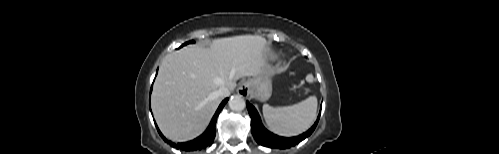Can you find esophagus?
<instances>
[{
    "label": "esophagus",
    "instance_id": "1",
    "mask_svg": "<svg viewBox=\"0 0 499 154\" xmlns=\"http://www.w3.org/2000/svg\"><path fill=\"white\" fill-rule=\"evenodd\" d=\"M237 91L241 96L247 97L250 94V83L248 81H243L239 85Z\"/></svg>",
    "mask_w": 499,
    "mask_h": 154
}]
</instances>
